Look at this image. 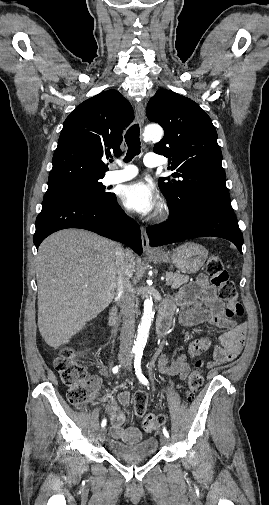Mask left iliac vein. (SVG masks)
<instances>
[{"instance_id": "obj_1", "label": "left iliac vein", "mask_w": 269, "mask_h": 505, "mask_svg": "<svg viewBox=\"0 0 269 505\" xmlns=\"http://www.w3.org/2000/svg\"><path fill=\"white\" fill-rule=\"evenodd\" d=\"M125 366H128V368L130 369L131 368V361H128ZM160 441H161L162 445H168L169 444V440L165 436H161Z\"/></svg>"}]
</instances>
